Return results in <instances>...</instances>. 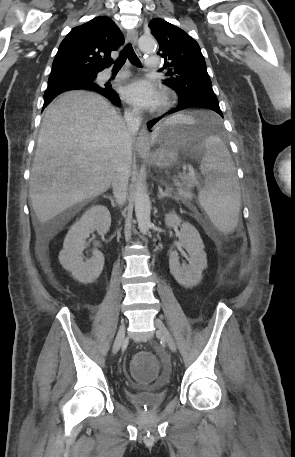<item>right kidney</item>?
Returning a JSON list of instances; mask_svg holds the SVG:
<instances>
[{"instance_id": "1", "label": "right kidney", "mask_w": 295, "mask_h": 457, "mask_svg": "<svg viewBox=\"0 0 295 457\" xmlns=\"http://www.w3.org/2000/svg\"><path fill=\"white\" fill-rule=\"evenodd\" d=\"M111 225V215L105 206L96 205L88 209L75 222L68 231L63 249L59 254V261L63 268L70 271L73 277L81 283L88 284L95 281L102 273L104 256L97 250H93V256L83 261L81 252L85 248V240L94 230L105 234Z\"/></svg>"}]
</instances>
